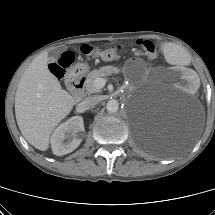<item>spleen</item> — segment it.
<instances>
[{"label": "spleen", "instance_id": "spleen-1", "mask_svg": "<svg viewBox=\"0 0 215 215\" xmlns=\"http://www.w3.org/2000/svg\"><path fill=\"white\" fill-rule=\"evenodd\" d=\"M164 55L167 62L171 64H181L188 66L192 62V57L187 53L183 46L177 48L172 44H166L164 48Z\"/></svg>", "mask_w": 215, "mask_h": 215}]
</instances>
